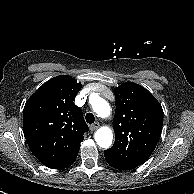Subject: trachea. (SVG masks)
I'll return each mask as SVG.
<instances>
[{"instance_id":"3493384b","label":"trachea","mask_w":194,"mask_h":194,"mask_svg":"<svg viewBox=\"0 0 194 194\" xmlns=\"http://www.w3.org/2000/svg\"><path fill=\"white\" fill-rule=\"evenodd\" d=\"M85 118H86V122L89 124H92L95 121L94 115L90 112L86 114Z\"/></svg>"}]
</instances>
